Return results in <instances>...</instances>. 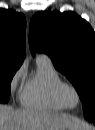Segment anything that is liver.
Here are the masks:
<instances>
[{
    "instance_id": "1",
    "label": "liver",
    "mask_w": 95,
    "mask_h": 130,
    "mask_svg": "<svg viewBox=\"0 0 95 130\" xmlns=\"http://www.w3.org/2000/svg\"><path fill=\"white\" fill-rule=\"evenodd\" d=\"M70 126L90 130V127L68 114L33 109L14 110L5 105L0 107V130H66Z\"/></svg>"
}]
</instances>
